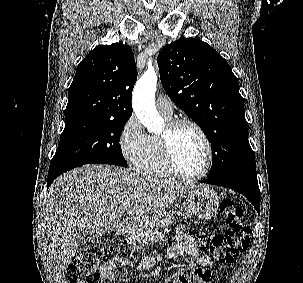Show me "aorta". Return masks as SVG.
Masks as SVG:
<instances>
[{
	"mask_svg": "<svg viewBox=\"0 0 303 283\" xmlns=\"http://www.w3.org/2000/svg\"><path fill=\"white\" fill-rule=\"evenodd\" d=\"M156 87L157 74L153 69H148L137 81L132 96L135 114L149 133H156L163 126L155 107Z\"/></svg>",
	"mask_w": 303,
	"mask_h": 283,
	"instance_id": "obj_1",
	"label": "aorta"
}]
</instances>
